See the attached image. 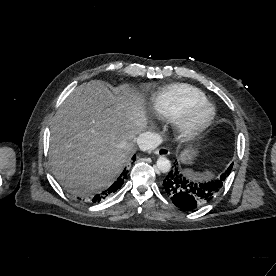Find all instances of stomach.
I'll list each match as a JSON object with an SVG mask.
<instances>
[{"label":"stomach","mask_w":276,"mask_h":276,"mask_svg":"<svg viewBox=\"0 0 276 276\" xmlns=\"http://www.w3.org/2000/svg\"><path fill=\"white\" fill-rule=\"evenodd\" d=\"M196 152L193 149H186L179 155V159L184 163H191L195 158Z\"/></svg>","instance_id":"stomach-1"}]
</instances>
